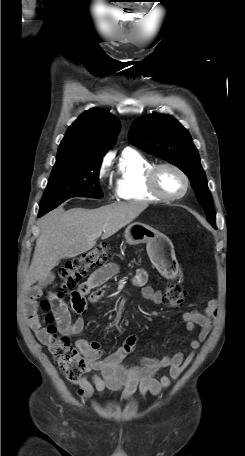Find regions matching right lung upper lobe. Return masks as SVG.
<instances>
[{
	"label": "right lung upper lobe",
	"mask_w": 245,
	"mask_h": 456,
	"mask_svg": "<svg viewBox=\"0 0 245 456\" xmlns=\"http://www.w3.org/2000/svg\"><path fill=\"white\" fill-rule=\"evenodd\" d=\"M120 121L109 112L91 109L67 130L59 145L56 163L76 159H102L114 143Z\"/></svg>",
	"instance_id": "1"
}]
</instances>
